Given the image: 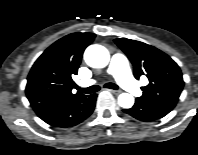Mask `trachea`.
I'll return each instance as SVG.
<instances>
[{
	"mask_svg": "<svg viewBox=\"0 0 198 155\" xmlns=\"http://www.w3.org/2000/svg\"><path fill=\"white\" fill-rule=\"evenodd\" d=\"M105 88H109V89H114V90H117L118 89V86L114 83H106L105 84ZM77 89L85 94H91V93H95L97 91L100 90V87L98 85H93V86H90L88 88H79L77 87Z\"/></svg>",
	"mask_w": 198,
	"mask_h": 155,
	"instance_id": "trachea-1",
	"label": "trachea"
}]
</instances>
